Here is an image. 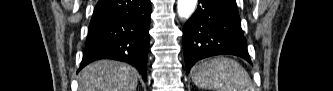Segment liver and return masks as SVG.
I'll return each instance as SVG.
<instances>
[{
    "label": "liver",
    "instance_id": "obj_1",
    "mask_svg": "<svg viewBox=\"0 0 333 91\" xmlns=\"http://www.w3.org/2000/svg\"><path fill=\"white\" fill-rule=\"evenodd\" d=\"M132 66L111 60L93 62L78 76L79 91H135L138 79Z\"/></svg>",
    "mask_w": 333,
    "mask_h": 91
}]
</instances>
